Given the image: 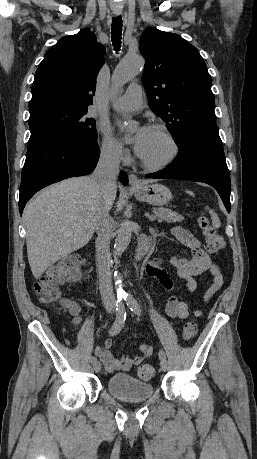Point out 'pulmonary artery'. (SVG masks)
Returning a JSON list of instances; mask_svg holds the SVG:
<instances>
[{"label": "pulmonary artery", "instance_id": "e3ab8cb5", "mask_svg": "<svg viewBox=\"0 0 257 459\" xmlns=\"http://www.w3.org/2000/svg\"><path fill=\"white\" fill-rule=\"evenodd\" d=\"M142 106V87L139 84H131L124 95L119 97L113 107L120 111H134Z\"/></svg>", "mask_w": 257, "mask_h": 459}]
</instances>
